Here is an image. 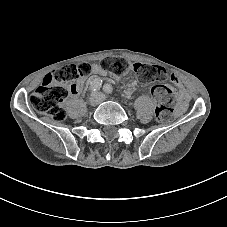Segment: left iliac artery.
I'll return each mask as SVG.
<instances>
[{"label": "left iliac artery", "mask_w": 227, "mask_h": 227, "mask_svg": "<svg viewBox=\"0 0 227 227\" xmlns=\"http://www.w3.org/2000/svg\"><path fill=\"white\" fill-rule=\"evenodd\" d=\"M103 90L107 94H112V92H113V88H112V86L110 84H105L103 86Z\"/></svg>", "instance_id": "44dca946"}]
</instances>
